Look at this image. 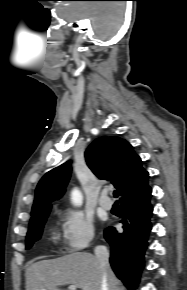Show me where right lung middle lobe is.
I'll return each mask as SVG.
<instances>
[{
  "label": "right lung middle lobe",
  "mask_w": 187,
  "mask_h": 290,
  "mask_svg": "<svg viewBox=\"0 0 187 290\" xmlns=\"http://www.w3.org/2000/svg\"><path fill=\"white\" fill-rule=\"evenodd\" d=\"M49 213H45L38 218L32 220L29 225V230L26 237V249L31 248L32 244L40 239L43 226Z\"/></svg>",
  "instance_id": "dd1d6c3e"
}]
</instances>
